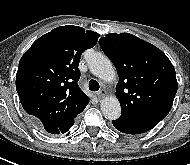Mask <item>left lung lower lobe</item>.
I'll use <instances>...</instances> for the list:
<instances>
[{
    "label": "left lung lower lobe",
    "instance_id": "1",
    "mask_svg": "<svg viewBox=\"0 0 190 165\" xmlns=\"http://www.w3.org/2000/svg\"><path fill=\"white\" fill-rule=\"evenodd\" d=\"M114 127L127 134L145 133L155 127L159 122L151 120H138L125 116H120L118 119L112 121Z\"/></svg>",
    "mask_w": 190,
    "mask_h": 165
}]
</instances>
